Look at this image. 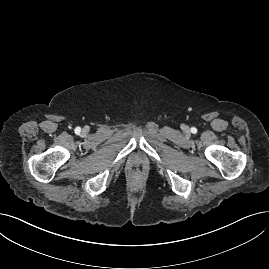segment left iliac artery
<instances>
[{
  "label": "left iliac artery",
  "instance_id": "obj_1",
  "mask_svg": "<svg viewBox=\"0 0 269 269\" xmlns=\"http://www.w3.org/2000/svg\"><path fill=\"white\" fill-rule=\"evenodd\" d=\"M192 132H196V128H192Z\"/></svg>",
  "mask_w": 269,
  "mask_h": 269
}]
</instances>
